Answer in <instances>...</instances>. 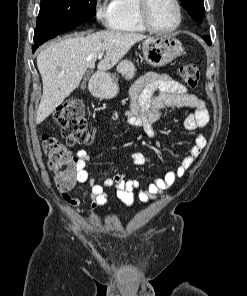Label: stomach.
Segmentation results:
<instances>
[{
	"instance_id": "stomach-1",
	"label": "stomach",
	"mask_w": 247,
	"mask_h": 296,
	"mask_svg": "<svg viewBox=\"0 0 247 296\" xmlns=\"http://www.w3.org/2000/svg\"><path fill=\"white\" fill-rule=\"evenodd\" d=\"M144 60L151 66L161 67L179 57L183 52L182 43L173 35H157L148 37L142 45ZM117 71L126 79L133 78L135 66L129 60H122ZM119 91L117 80L106 73L96 77L94 94L102 99H110Z\"/></svg>"
}]
</instances>
